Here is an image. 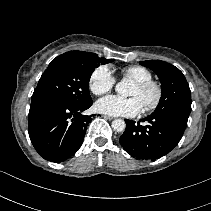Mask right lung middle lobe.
<instances>
[{"label": "right lung middle lobe", "mask_w": 211, "mask_h": 211, "mask_svg": "<svg viewBox=\"0 0 211 211\" xmlns=\"http://www.w3.org/2000/svg\"><path fill=\"white\" fill-rule=\"evenodd\" d=\"M113 59L99 58L97 54L69 51L56 57L41 76L31 102L54 101L70 106L92 102L89 80L94 69Z\"/></svg>", "instance_id": "dd1d6c3e"}]
</instances>
